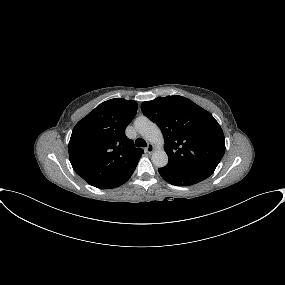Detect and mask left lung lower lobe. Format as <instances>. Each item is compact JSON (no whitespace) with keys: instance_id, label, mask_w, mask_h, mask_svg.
I'll return each instance as SVG.
<instances>
[{"instance_id":"left-lung-lower-lobe-1","label":"left lung lower lobe","mask_w":285,"mask_h":285,"mask_svg":"<svg viewBox=\"0 0 285 285\" xmlns=\"http://www.w3.org/2000/svg\"><path fill=\"white\" fill-rule=\"evenodd\" d=\"M162 178L168 183L175 186H190L201 182L209 175L197 172L177 171L165 167L158 169Z\"/></svg>"}]
</instances>
